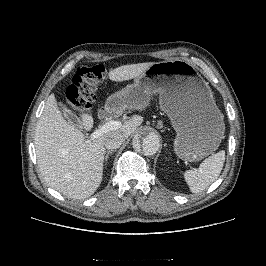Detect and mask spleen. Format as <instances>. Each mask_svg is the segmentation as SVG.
<instances>
[{"label":"spleen","instance_id":"obj_1","mask_svg":"<svg viewBox=\"0 0 266 266\" xmlns=\"http://www.w3.org/2000/svg\"><path fill=\"white\" fill-rule=\"evenodd\" d=\"M225 161V151L206 158L197 170H187L184 178L192 193H200L208 188L220 175Z\"/></svg>","mask_w":266,"mask_h":266}]
</instances>
